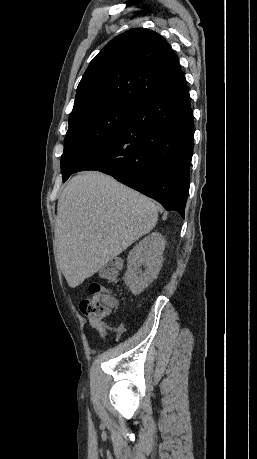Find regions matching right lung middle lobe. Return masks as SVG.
Masks as SVG:
<instances>
[{
	"instance_id": "right-lung-middle-lobe-1",
	"label": "right lung middle lobe",
	"mask_w": 257,
	"mask_h": 459,
	"mask_svg": "<svg viewBox=\"0 0 257 459\" xmlns=\"http://www.w3.org/2000/svg\"><path fill=\"white\" fill-rule=\"evenodd\" d=\"M134 112L133 107L110 106L70 121L61 160L63 181L118 135L129 124Z\"/></svg>"
}]
</instances>
